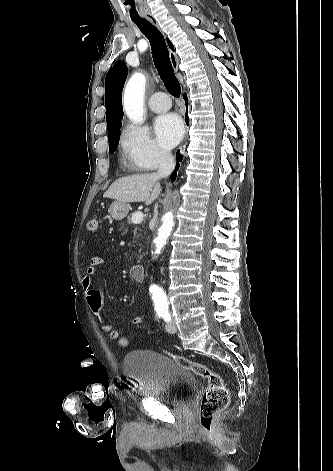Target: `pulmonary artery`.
I'll list each match as a JSON object with an SVG mask.
<instances>
[{
	"label": "pulmonary artery",
	"mask_w": 333,
	"mask_h": 471,
	"mask_svg": "<svg viewBox=\"0 0 333 471\" xmlns=\"http://www.w3.org/2000/svg\"><path fill=\"white\" fill-rule=\"evenodd\" d=\"M149 107L154 112H164L170 109L171 101L164 92H156L149 99Z\"/></svg>",
	"instance_id": "obj_1"
}]
</instances>
